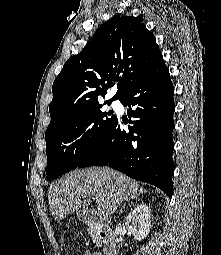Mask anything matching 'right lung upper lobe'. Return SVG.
<instances>
[{
    "label": "right lung upper lobe",
    "mask_w": 221,
    "mask_h": 255,
    "mask_svg": "<svg viewBox=\"0 0 221 255\" xmlns=\"http://www.w3.org/2000/svg\"><path fill=\"white\" fill-rule=\"evenodd\" d=\"M161 57L153 33L141 18L112 17L79 54L67 60L55 79L46 132L72 114L99 103L114 81L118 90L108 101L120 99Z\"/></svg>",
    "instance_id": "obj_1"
}]
</instances>
